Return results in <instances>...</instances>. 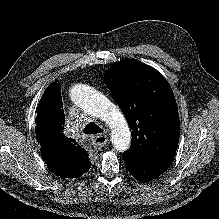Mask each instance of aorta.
<instances>
[{
  "label": "aorta",
  "mask_w": 219,
  "mask_h": 219,
  "mask_svg": "<svg viewBox=\"0 0 219 219\" xmlns=\"http://www.w3.org/2000/svg\"><path fill=\"white\" fill-rule=\"evenodd\" d=\"M71 100L81 109L103 121L111 130L114 147L123 152L131 143L128 123L120 109L95 88L76 84L70 89Z\"/></svg>",
  "instance_id": "762f6f07"
}]
</instances>
